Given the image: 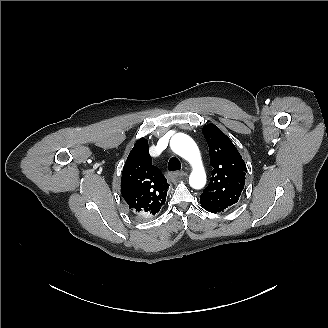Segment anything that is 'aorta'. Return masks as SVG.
<instances>
[{"label": "aorta", "mask_w": 328, "mask_h": 328, "mask_svg": "<svg viewBox=\"0 0 328 328\" xmlns=\"http://www.w3.org/2000/svg\"><path fill=\"white\" fill-rule=\"evenodd\" d=\"M170 146L177 155L191 164L193 170L189 177L190 186L194 189L203 188L206 184V174L194 140L186 134L177 133L171 138Z\"/></svg>", "instance_id": "762f6f07"}]
</instances>
